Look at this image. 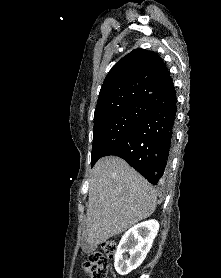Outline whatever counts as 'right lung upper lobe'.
<instances>
[{
	"label": "right lung upper lobe",
	"instance_id": "right-lung-upper-lobe-1",
	"mask_svg": "<svg viewBox=\"0 0 221 278\" xmlns=\"http://www.w3.org/2000/svg\"><path fill=\"white\" fill-rule=\"evenodd\" d=\"M172 78L153 51L135 49L117 62L101 87L94 117L171 87Z\"/></svg>",
	"mask_w": 221,
	"mask_h": 278
}]
</instances>
